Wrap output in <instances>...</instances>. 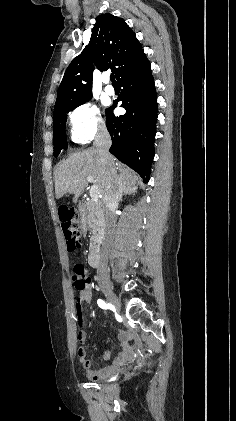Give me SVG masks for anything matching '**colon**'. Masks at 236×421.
I'll return each instance as SVG.
<instances>
[{"instance_id":"1","label":"colon","mask_w":236,"mask_h":421,"mask_svg":"<svg viewBox=\"0 0 236 421\" xmlns=\"http://www.w3.org/2000/svg\"><path fill=\"white\" fill-rule=\"evenodd\" d=\"M64 223L62 224L63 232L67 242V248L73 252L80 246V232L76 222L71 221L69 218V212H66ZM72 281L76 290L82 292L91 283V275L88 269L82 264H76L72 270ZM84 349L80 348L78 354L82 356Z\"/></svg>"}]
</instances>
